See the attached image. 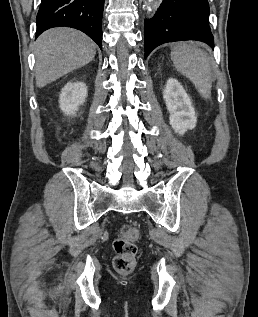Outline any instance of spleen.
<instances>
[{
	"label": "spleen",
	"mask_w": 258,
	"mask_h": 317,
	"mask_svg": "<svg viewBox=\"0 0 258 317\" xmlns=\"http://www.w3.org/2000/svg\"><path fill=\"white\" fill-rule=\"evenodd\" d=\"M171 58L177 70L192 80L198 92L204 98H211L213 78L207 52L197 48L191 42L190 44L179 42L177 46L171 48Z\"/></svg>",
	"instance_id": "1"
}]
</instances>
